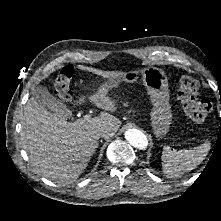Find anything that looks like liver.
Segmentation results:
<instances>
[{
    "label": "liver",
    "instance_id": "liver-1",
    "mask_svg": "<svg viewBox=\"0 0 221 221\" xmlns=\"http://www.w3.org/2000/svg\"><path fill=\"white\" fill-rule=\"evenodd\" d=\"M82 69L105 79L117 78L123 73L91 67ZM107 94V91L97 90L89 96V101L104 112L88 120L74 122H67V117L45 109L34 97L28 100L21 118V140L38 173L62 183L79 177L99 145L100 131H106L105 138H108L121 126V121L107 112L117 109Z\"/></svg>",
    "mask_w": 221,
    "mask_h": 221
}]
</instances>
